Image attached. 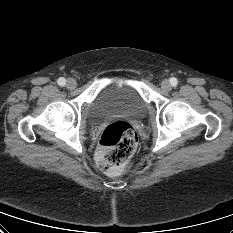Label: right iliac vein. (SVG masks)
<instances>
[{
    "mask_svg": "<svg viewBox=\"0 0 233 233\" xmlns=\"http://www.w3.org/2000/svg\"><path fill=\"white\" fill-rule=\"evenodd\" d=\"M77 82L73 78H69L66 83V87L70 90L76 88Z\"/></svg>",
    "mask_w": 233,
    "mask_h": 233,
    "instance_id": "1",
    "label": "right iliac vein"
}]
</instances>
